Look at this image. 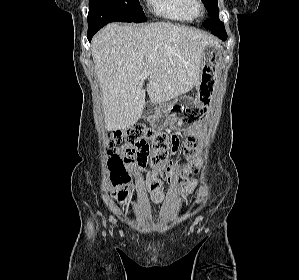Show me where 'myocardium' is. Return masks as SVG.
I'll list each match as a JSON object with an SVG mask.
<instances>
[{
  "label": "myocardium",
  "mask_w": 299,
  "mask_h": 280,
  "mask_svg": "<svg viewBox=\"0 0 299 280\" xmlns=\"http://www.w3.org/2000/svg\"><path fill=\"white\" fill-rule=\"evenodd\" d=\"M195 12L197 16H201L205 13V7L200 0H195Z\"/></svg>",
  "instance_id": "1"
}]
</instances>
